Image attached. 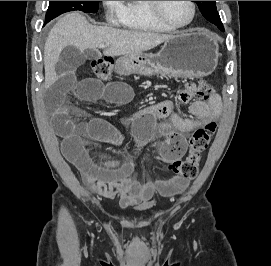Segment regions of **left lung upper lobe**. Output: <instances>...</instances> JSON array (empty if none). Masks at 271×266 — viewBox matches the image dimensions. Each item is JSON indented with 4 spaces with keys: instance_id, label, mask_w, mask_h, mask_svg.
Returning a JSON list of instances; mask_svg holds the SVG:
<instances>
[{
    "instance_id": "obj_1",
    "label": "left lung upper lobe",
    "mask_w": 271,
    "mask_h": 266,
    "mask_svg": "<svg viewBox=\"0 0 271 266\" xmlns=\"http://www.w3.org/2000/svg\"><path fill=\"white\" fill-rule=\"evenodd\" d=\"M195 2L197 3L202 15L208 21L215 24L220 30L224 29L220 16L216 10L215 1H195Z\"/></svg>"
}]
</instances>
